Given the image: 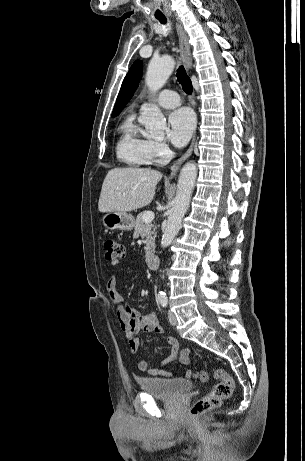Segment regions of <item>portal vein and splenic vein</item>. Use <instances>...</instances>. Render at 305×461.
Returning a JSON list of instances; mask_svg holds the SVG:
<instances>
[{
	"instance_id": "portal-vein-and-splenic-vein-1",
	"label": "portal vein and splenic vein",
	"mask_w": 305,
	"mask_h": 461,
	"mask_svg": "<svg viewBox=\"0 0 305 461\" xmlns=\"http://www.w3.org/2000/svg\"><path fill=\"white\" fill-rule=\"evenodd\" d=\"M154 216H155V215H154V212H152V211H147V212H145L144 215H143V220H144L145 223H150V222H152V220L154 219Z\"/></svg>"
}]
</instances>
